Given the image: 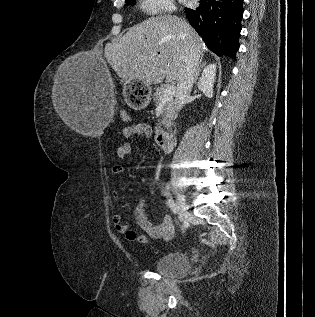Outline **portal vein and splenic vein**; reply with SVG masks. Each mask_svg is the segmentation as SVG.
Listing matches in <instances>:
<instances>
[{"label": "portal vein and splenic vein", "mask_w": 315, "mask_h": 317, "mask_svg": "<svg viewBox=\"0 0 315 317\" xmlns=\"http://www.w3.org/2000/svg\"><path fill=\"white\" fill-rule=\"evenodd\" d=\"M175 94V86H169L167 87L163 92V100H169L173 97Z\"/></svg>", "instance_id": "obj_1"}]
</instances>
